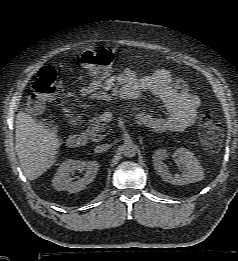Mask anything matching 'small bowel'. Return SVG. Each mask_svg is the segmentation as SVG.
<instances>
[{
	"instance_id": "1",
	"label": "small bowel",
	"mask_w": 238,
	"mask_h": 261,
	"mask_svg": "<svg viewBox=\"0 0 238 261\" xmlns=\"http://www.w3.org/2000/svg\"><path fill=\"white\" fill-rule=\"evenodd\" d=\"M146 92L160 98L167 115L155 117L143 112L138 120L144 126L156 132L183 131L194 123L200 99L189 90L182 79L175 77L167 69L144 75L125 68L116 74L95 78L80 90L82 96L100 101H132Z\"/></svg>"
}]
</instances>
